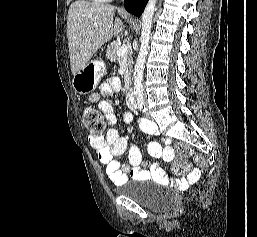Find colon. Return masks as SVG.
Here are the masks:
<instances>
[{"label":"colon","mask_w":257,"mask_h":237,"mask_svg":"<svg viewBox=\"0 0 257 237\" xmlns=\"http://www.w3.org/2000/svg\"><path fill=\"white\" fill-rule=\"evenodd\" d=\"M82 117L84 125L93 136L100 137L103 134L106 123L97 110L87 107L84 109ZM175 149L180 156L172 165V169L176 174L185 173L190 167L189 163L183 159L184 156H192L195 162H201L200 155L190 145L185 143L178 144Z\"/></svg>","instance_id":"5ec220e1"}]
</instances>
